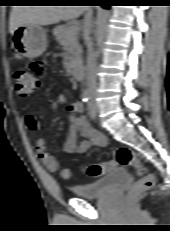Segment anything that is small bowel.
I'll use <instances>...</instances> for the list:
<instances>
[{
    "mask_svg": "<svg viewBox=\"0 0 170 231\" xmlns=\"http://www.w3.org/2000/svg\"><path fill=\"white\" fill-rule=\"evenodd\" d=\"M29 71L38 81L45 74V65L41 61H33L29 66ZM69 114L70 129L68 140L64 145V151L67 153H85L92 146H104L105 137L99 132L93 130L83 116V105L76 101L67 106ZM25 122L31 130L39 128V122L32 114H27ZM36 152L41 163L50 171L58 168V161L54 155L47 151L46 141L40 137L35 142Z\"/></svg>",
    "mask_w": 170,
    "mask_h": 231,
    "instance_id": "1",
    "label": "small bowel"
}]
</instances>
